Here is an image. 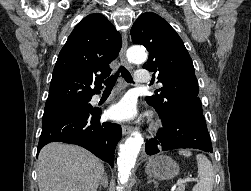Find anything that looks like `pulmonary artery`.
I'll return each instance as SVG.
<instances>
[{
	"label": "pulmonary artery",
	"instance_id": "e3ab8cb5",
	"mask_svg": "<svg viewBox=\"0 0 251 191\" xmlns=\"http://www.w3.org/2000/svg\"><path fill=\"white\" fill-rule=\"evenodd\" d=\"M139 73H136V80L138 82H149L150 78H149V68H139L136 70ZM100 98L99 95H95L93 97L94 100H98Z\"/></svg>",
	"mask_w": 251,
	"mask_h": 191
}]
</instances>
